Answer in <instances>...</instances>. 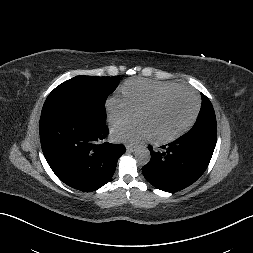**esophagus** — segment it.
<instances>
[{
	"label": "esophagus",
	"instance_id": "34e87169",
	"mask_svg": "<svg viewBox=\"0 0 253 253\" xmlns=\"http://www.w3.org/2000/svg\"><path fill=\"white\" fill-rule=\"evenodd\" d=\"M135 149H136V147H135V146H131V145H127V146H126V150H127V152H134V151H135Z\"/></svg>",
	"mask_w": 253,
	"mask_h": 253
}]
</instances>
